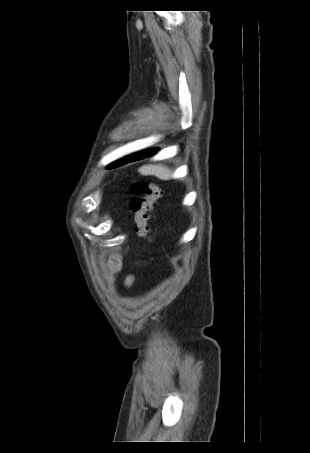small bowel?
<instances>
[{
	"label": "small bowel",
	"mask_w": 310,
	"mask_h": 453,
	"mask_svg": "<svg viewBox=\"0 0 310 453\" xmlns=\"http://www.w3.org/2000/svg\"><path fill=\"white\" fill-rule=\"evenodd\" d=\"M123 268V257L117 252L113 251L110 253L107 260V272L110 279L114 280L121 273ZM134 282V276L129 274L125 277L124 283L126 286H130Z\"/></svg>",
	"instance_id": "obj_1"
}]
</instances>
